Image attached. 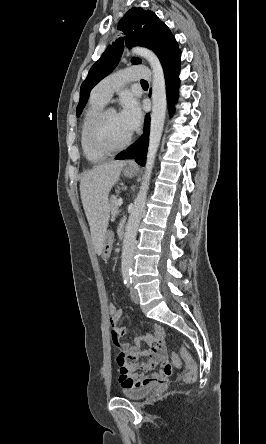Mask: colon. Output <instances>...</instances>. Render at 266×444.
<instances>
[{
    "label": "colon",
    "instance_id": "5ec220e1",
    "mask_svg": "<svg viewBox=\"0 0 266 444\" xmlns=\"http://www.w3.org/2000/svg\"><path fill=\"white\" fill-rule=\"evenodd\" d=\"M107 311L110 316V319H112L118 312V309H117L115 303L109 302L107 304ZM181 358L184 361L185 368H186V371L184 374V381L186 383L195 382L197 379V374H198L197 366H196V363H195L194 359L192 358L191 354L184 347L181 348ZM171 359H172V363L174 366H176V367L181 366V359L176 353H173L171 355Z\"/></svg>",
    "mask_w": 266,
    "mask_h": 444
}]
</instances>
